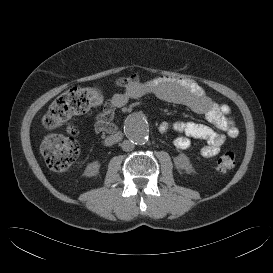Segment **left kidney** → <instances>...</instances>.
Masks as SVG:
<instances>
[{
	"label": "left kidney",
	"instance_id": "5707ae66",
	"mask_svg": "<svg viewBox=\"0 0 273 273\" xmlns=\"http://www.w3.org/2000/svg\"><path fill=\"white\" fill-rule=\"evenodd\" d=\"M174 163L180 170L190 171L192 169L190 160L185 154H179L177 157H175Z\"/></svg>",
	"mask_w": 273,
	"mask_h": 273
}]
</instances>
